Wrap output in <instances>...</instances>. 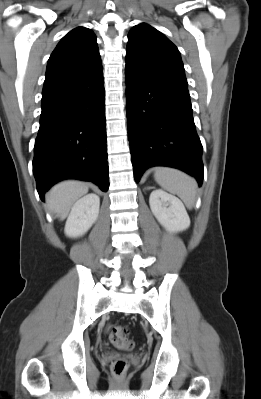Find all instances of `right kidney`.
Returning <instances> with one entry per match:
<instances>
[{"mask_svg":"<svg viewBox=\"0 0 261 399\" xmlns=\"http://www.w3.org/2000/svg\"><path fill=\"white\" fill-rule=\"evenodd\" d=\"M100 199L90 193L79 199L71 209L64 232L66 236L76 238L85 234L96 222L99 215Z\"/></svg>","mask_w":261,"mask_h":399,"instance_id":"obj_1","label":"right kidney"}]
</instances>
